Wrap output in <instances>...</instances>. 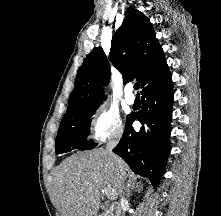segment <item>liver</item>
I'll use <instances>...</instances> for the list:
<instances>
[{
	"instance_id": "liver-1",
	"label": "liver",
	"mask_w": 221,
	"mask_h": 216,
	"mask_svg": "<svg viewBox=\"0 0 221 216\" xmlns=\"http://www.w3.org/2000/svg\"><path fill=\"white\" fill-rule=\"evenodd\" d=\"M117 160L121 161L122 175ZM133 174L117 156L105 149L74 154L56 170V185L61 216H97L100 192L111 191L113 200L128 190Z\"/></svg>"
}]
</instances>
